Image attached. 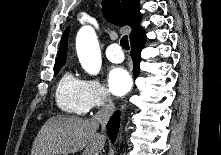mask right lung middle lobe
<instances>
[{
	"mask_svg": "<svg viewBox=\"0 0 221 155\" xmlns=\"http://www.w3.org/2000/svg\"><path fill=\"white\" fill-rule=\"evenodd\" d=\"M61 67L62 65L54 67L55 75L57 74V72L60 70Z\"/></svg>",
	"mask_w": 221,
	"mask_h": 155,
	"instance_id": "obj_1",
	"label": "right lung middle lobe"
}]
</instances>
